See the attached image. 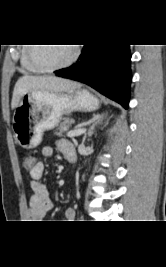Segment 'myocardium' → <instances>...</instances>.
Segmentation results:
<instances>
[{
    "instance_id": "f54148a6",
    "label": "myocardium",
    "mask_w": 166,
    "mask_h": 267,
    "mask_svg": "<svg viewBox=\"0 0 166 267\" xmlns=\"http://www.w3.org/2000/svg\"><path fill=\"white\" fill-rule=\"evenodd\" d=\"M36 48H37L36 44H32V46L29 47V59L35 67H37L38 69H40L41 71H44V72H54V71H58V70L67 68V67L71 66L77 60L78 55H79V49L77 46H75L73 48V52H72L70 58L66 62L55 65V66H47V65L41 63L36 58V54H35Z\"/></svg>"
}]
</instances>
